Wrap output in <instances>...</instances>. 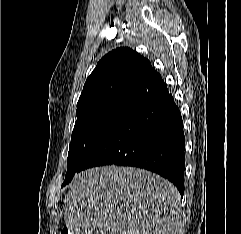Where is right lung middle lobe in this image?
<instances>
[{"label": "right lung middle lobe", "mask_w": 241, "mask_h": 234, "mask_svg": "<svg viewBox=\"0 0 241 234\" xmlns=\"http://www.w3.org/2000/svg\"><path fill=\"white\" fill-rule=\"evenodd\" d=\"M137 104L108 102L77 110V121L72 132L67 159V173L62 186L68 184L91 150L121 121Z\"/></svg>", "instance_id": "1"}]
</instances>
